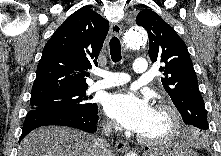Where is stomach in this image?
<instances>
[{"label": "stomach", "instance_id": "0dacf381", "mask_svg": "<svg viewBox=\"0 0 221 156\" xmlns=\"http://www.w3.org/2000/svg\"><path fill=\"white\" fill-rule=\"evenodd\" d=\"M148 156H198L196 152L179 142H167L151 149Z\"/></svg>", "mask_w": 221, "mask_h": 156}]
</instances>
